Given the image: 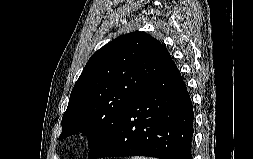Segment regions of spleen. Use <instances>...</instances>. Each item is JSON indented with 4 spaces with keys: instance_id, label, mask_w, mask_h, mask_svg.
Segmentation results:
<instances>
[{
    "instance_id": "spleen-1",
    "label": "spleen",
    "mask_w": 253,
    "mask_h": 159,
    "mask_svg": "<svg viewBox=\"0 0 253 159\" xmlns=\"http://www.w3.org/2000/svg\"><path fill=\"white\" fill-rule=\"evenodd\" d=\"M131 159H156V158H152V157H143V156H133V157H131Z\"/></svg>"
}]
</instances>
